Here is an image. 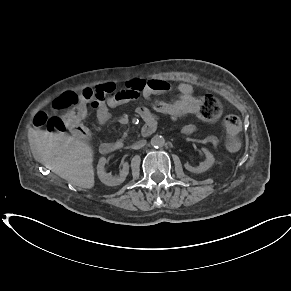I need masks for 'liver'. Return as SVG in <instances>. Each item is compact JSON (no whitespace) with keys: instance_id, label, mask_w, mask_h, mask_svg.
Returning a JSON list of instances; mask_svg holds the SVG:
<instances>
[{"instance_id":"1","label":"liver","mask_w":291,"mask_h":291,"mask_svg":"<svg viewBox=\"0 0 291 291\" xmlns=\"http://www.w3.org/2000/svg\"><path fill=\"white\" fill-rule=\"evenodd\" d=\"M35 159L45 162L61 178L74 186H94L93 149L67 133L31 130L28 134Z\"/></svg>"}]
</instances>
